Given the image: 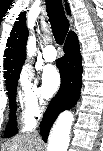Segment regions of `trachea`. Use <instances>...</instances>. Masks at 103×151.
<instances>
[{"label":"trachea","mask_w":103,"mask_h":151,"mask_svg":"<svg viewBox=\"0 0 103 151\" xmlns=\"http://www.w3.org/2000/svg\"><path fill=\"white\" fill-rule=\"evenodd\" d=\"M49 21L55 40L58 44L64 42L69 30V22L65 16L61 0H45Z\"/></svg>","instance_id":"1"}]
</instances>
